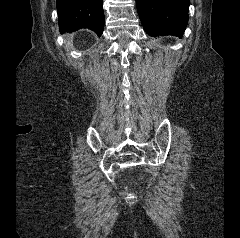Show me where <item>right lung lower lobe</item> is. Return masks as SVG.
Returning a JSON list of instances; mask_svg holds the SVG:
<instances>
[{
	"label": "right lung lower lobe",
	"mask_w": 240,
	"mask_h": 238,
	"mask_svg": "<svg viewBox=\"0 0 240 238\" xmlns=\"http://www.w3.org/2000/svg\"><path fill=\"white\" fill-rule=\"evenodd\" d=\"M60 32L88 28L99 36L104 29L102 0H56Z\"/></svg>",
	"instance_id": "right-lung-lower-lobe-1"
}]
</instances>
